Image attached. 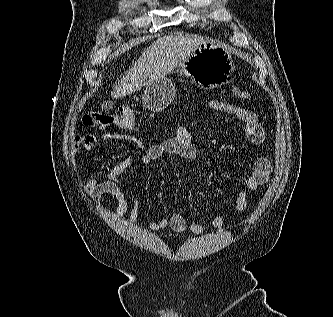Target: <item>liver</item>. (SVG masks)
<instances>
[{"instance_id": "6515ba94", "label": "liver", "mask_w": 333, "mask_h": 317, "mask_svg": "<svg viewBox=\"0 0 333 317\" xmlns=\"http://www.w3.org/2000/svg\"><path fill=\"white\" fill-rule=\"evenodd\" d=\"M209 39L201 36H164L158 38L138 58L111 91L112 98L125 97L155 79L165 77L189 59L195 50Z\"/></svg>"}]
</instances>
